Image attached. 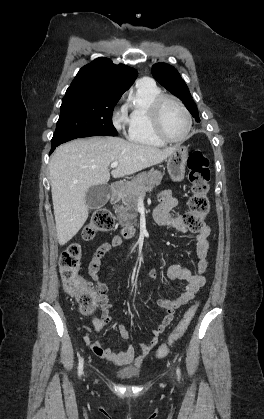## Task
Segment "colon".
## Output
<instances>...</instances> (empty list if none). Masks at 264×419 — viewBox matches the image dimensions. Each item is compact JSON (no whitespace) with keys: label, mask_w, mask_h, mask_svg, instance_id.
Returning <instances> with one entry per match:
<instances>
[{"label":"colon","mask_w":264,"mask_h":419,"mask_svg":"<svg viewBox=\"0 0 264 419\" xmlns=\"http://www.w3.org/2000/svg\"><path fill=\"white\" fill-rule=\"evenodd\" d=\"M188 180L190 182L191 195L188 200L189 210L183 215L182 220L192 232L202 229L203 220L209 212L208 199L210 171L207 158L200 152H192L187 161ZM115 220L108 209L95 211L84 230L86 239L93 238L97 233L113 230ZM81 249L77 244L69 246L60 256V275L64 289L68 294L75 297L80 312L90 316L100 303L96 292L80 275ZM101 304V303H100ZM197 304L191 306L183 315L182 319L171 333L167 342L162 344L156 351V357L161 359L168 355L171 346L178 341L187 331L195 313Z\"/></svg>","instance_id":"obj_1"}]
</instances>
